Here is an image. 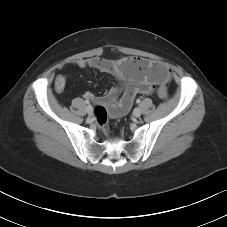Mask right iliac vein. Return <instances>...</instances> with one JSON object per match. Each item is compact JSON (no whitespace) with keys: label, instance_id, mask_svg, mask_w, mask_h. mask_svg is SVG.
Returning a JSON list of instances; mask_svg holds the SVG:
<instances>
[{"label":"right iliac vein","instance_id":"1","mask_svg":"<svg viewBox=\"0 0 227 227\" xmlns=\"http://www.w3.org/2000/svg\"><path fill=\"white\" fill-rule=\"evenodd\" d=\"M86 111H87V113H88L89 115H91L92 112H93L92 106H87V107H86Z\"/></svg>","mask_w":227,"mask_h":227}]
</instances>
